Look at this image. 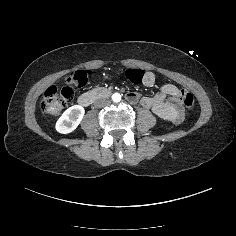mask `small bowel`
Instances as JSON below:
<instances>
[{
  "instance_id": "c3829d8e",
  "label": "small bowel",
  "mask_w": 236,
  "mask_h": 236,
  "mask_svg": "<svg viewBox=\"0 0 236 236\" xmlns=\"http://www.w3.org/2000/svg\"><path fill=\"white\" fill-rule=\"evenodd\" d=\"M153 83H154V81H153V78L151 76H147L144 80V84L147 85V86H152ZM169 91L175 93L176 95H179V93H180V91L175 87H170Z\"/></svg>"
}]
</instances>
